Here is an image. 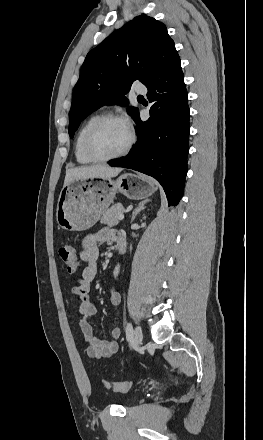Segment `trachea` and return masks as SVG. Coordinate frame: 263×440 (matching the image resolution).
I'll return each instance as SVG.
<instances>
[{"instance_id": "trachea-1", "label": "trachea", "mask_w": 263, "mask_h": 440, "mask_svg": "<svg viewBox=\"0 0 263 440\" xmlns=\"http://www.w3.org/2000/svg\"><path fill=\"white\" fill-rule=\"evenodd\" d=\"M138 97L141 98V97H143V96L139 95Z\"/></svg>"}]
</instances>
